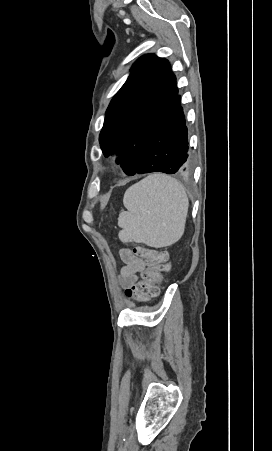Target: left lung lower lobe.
Wrapping results in <instances>:
<instances>
[{"label":"left lung lower lobe","instance_id":"obj_1","mask_svg":"<svg viewBox=\"0 0 272 451\" xmlns=\"http://www.w3.org/2000/svg\"><path fill=\"white\" fill-rule=\"evenodd\" d=\"M187 127L178 93L168 104L151 135L137 174L164 172L174 174L191 167Z\"/></svg>","mask_w":272,"mask_h":451}]
</instances>
